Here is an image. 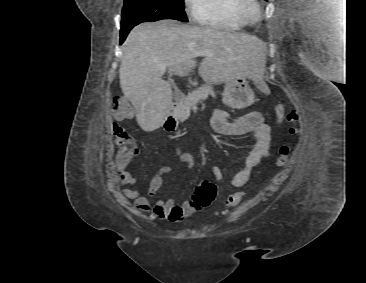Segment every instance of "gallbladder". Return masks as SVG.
Returning <instances> with one entry per match:
<instances>
[{
  "label": "gallbladder",
  "mask_w": 366,
  "mask_h": 283,
  "mask_svg": "<svg viewBox=\"0 0 366 283\" xmlns=\"http://www.w3.org/2000/svg\"><path fill=\"white\" fill-rule=\"evenodd\" d=\"M175 96H178V93L177 92H175Z\"/></svg>",
  "instance_id": "gallbladder-1"
}]
</instances>
